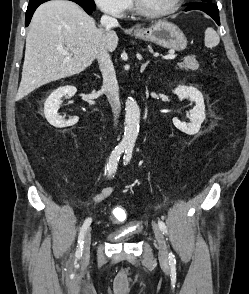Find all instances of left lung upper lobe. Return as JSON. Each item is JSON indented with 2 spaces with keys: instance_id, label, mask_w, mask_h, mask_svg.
Here are the masks:
<instances>
[{
  "instance_id": "left-lung-upper-lobe-1",
  "label": "left lung upper lobe",
  "mask_w": 249,
  "mask_h": 294,
  "mask_svg": "<svg viewBox=\"0 0 249 294\" xmlns=\"http://www.w3.org/2000/svg\"><path fill=\"white\" fill-rule=\"evenodd\" d=\"M202 2H211V0H201Z\"/></svg>"
}]
</instances>
